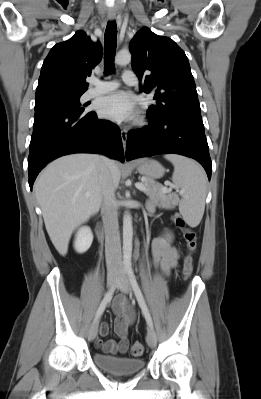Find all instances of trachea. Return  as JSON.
Listing matches in <instances>:
<instances>
[{
  "label": "trachea",
  "instance_id": "1",
  "mask_svg": "<svg viewBox=\"0 0 261 399\" xmlns=\"http://www.w3.org/2000/svg\"><path fill=\"white\" fill-rule=\"evenodd\" d=\"M117 45V26L114 21L108 22L105 30V73L114 72V56Z\"/></svg>",
  "mask_w": 261,
  "mask_h": 399
}]
</instances>
